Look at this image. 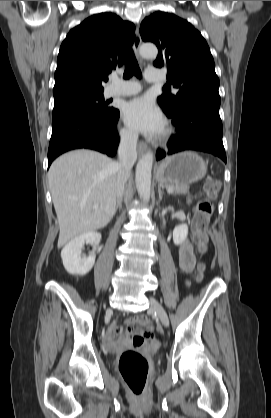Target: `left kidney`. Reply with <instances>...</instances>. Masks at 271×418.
<instances>
[{"label":"left kidney","mask_w":271,"mask_h":418,"mask_svg":"<svg viewBox=\"0 0 271 418\" xmlns=\"http://www.w3.org/2000/svg\"><path fill=\"white\" fill-rule=\"evenodd\" d=\"M188 235V227L186 224L178 225L173 230V241L176 245L182 243Z\"/></svg>","instance_id":"5707ae66"}]
</instances>
